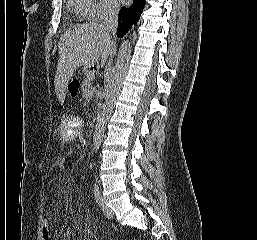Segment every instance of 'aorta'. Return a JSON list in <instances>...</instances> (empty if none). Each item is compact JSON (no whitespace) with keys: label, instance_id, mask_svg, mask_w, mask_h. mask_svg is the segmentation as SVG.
<instances>
[{"label":"aorta","instance_id":"762f6f07","mask_svg":"<svg viewBox=\"0 0 257 240\" xmlns=\"http://www.w3.org/2000/svg\"><path fill=\"white\" fill-rule=\"evenodd\" d=\"M130 55V41L128 39H124L118 52L116 64L111 71V75L106 89V99L103 104L102 112L97 120V124L95 127L93 135V152L95 153H97V150L101 145L107 121L109 120L113 112L117 98L121 92L123 81L128 69Z\"/></svg>","mask_w":257,"mask_h":240}]
</instances>
